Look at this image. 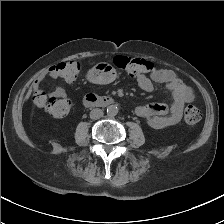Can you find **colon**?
I'll list each match as a JSON object with an SVG mask.
<instances>
[{
	"label": "colon",
	"instance_id": "1",
	"mask_svg": "<svg viewBox=\"0 0 224 224\" xmlns=\"http://www.w3.org/2000/svg\"><path fill=\"white\" fill-rule=\"evenodd\" d=\"M113 61L116 67L132 77H138L148 73L153 74L158 71L152 62L142 58L119 55ZM80 69L81 64L77 60H65L55 65V71L60 75L61 79L67 82L75 80ZM34 102L38 107L43 108L49 115L55 118L66 117L71 109L69 100L49 96L43 91L35 93ZM201 117V111L193 105L187 106L184 110V121L189 126L198 124Z\"/></svg>",
	"mask_w": 224,
	"mask_h": 224
}]
</instances>
